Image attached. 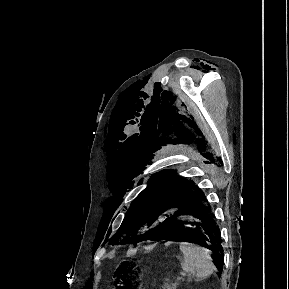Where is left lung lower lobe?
<instances>
[{
	"mask_svg": "<svg viewBox=\"0 0 289 289\" xmlns=\"http://www.w3.org/2000/svg\"><path fill=\"white\" fill-rule=\"evenodd\" d=\"M169 217L152 240L191 237L193 242L214 252L216 267L222 272L223 248L220 230L215 223L211 206L198 186L182 188L169 204ZM172 215V216H170Z\"/></svg>",
	"mask_w": 289,
	"mask_h": 289,
	"instance_id": "1",
	"label": "left lung lower lobe"
}]
</instances>
